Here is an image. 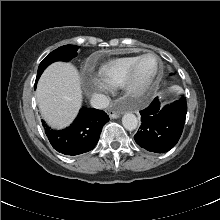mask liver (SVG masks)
<instances>
[{
    "mask_svg": "<svg viewBox=\"0 0 220 220\" xmlns=\"http://www.w3.org/2000/svg\"><path fill=\"white\" fill-rule=\"evenodd\" d=\"M39 109L53 128L68 126L82 104L81 82L70 63L55 62L41 75L36 91Z\"/></svg>",
    "mask_w": 220,
    "mask_h": 220,
    "instance_id": "1",
    "label": "liver"
}]
</instances>
